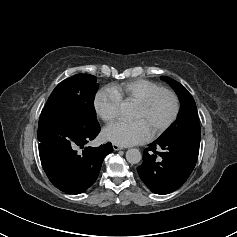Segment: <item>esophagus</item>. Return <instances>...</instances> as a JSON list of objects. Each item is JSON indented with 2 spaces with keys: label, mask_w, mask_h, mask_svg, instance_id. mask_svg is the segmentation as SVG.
<instances>
[{
  "label": "esophagus",
  "mask_w": 237,
  "mask_h": 237,
  "mask_svg": "<svg viewBox=\"0 0 237 237\" xmlns=\"http://www.w3.org/2000/svg\"><path fill=\"white\" fill-rule=\"evenodd\" d=\"M112 146H113V149H114L115 151H118V150H122V149H123V147H121V146H119V145H117V144H113Z\"/></svg>",
  "instance_id": "1"
}]
</instances>
